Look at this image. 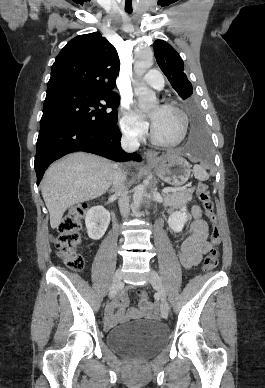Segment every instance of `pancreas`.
Returning <instances> with one entry per match:
<instances>
[{
  "label": "pancreas",
  "mask_w": 265,
  "mask_h": 388,
  "mask_svg": "<svg viewBox=\"0 0 265 388\" xmlns=\"http://www.w3.org/2000/svg\"><path fill=\"white\" fill-rule=\"evenodd\" d=\"M193 192V188H188V190H180V192H173V194H163L164 206H172V208H175L178 204L190 202Z\"/></svg>",
  "instance_id": "pancreas-1"
}]
</instances>
